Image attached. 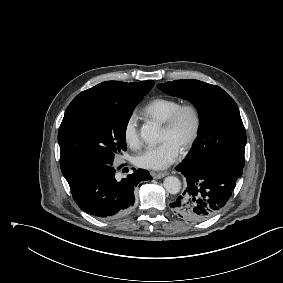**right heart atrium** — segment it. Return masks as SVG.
<instances>
[{
  "mask_svg": "<svg viewBox=\"0 0 283 283\" xmlns=\"http://www.w3.org/2000/svg\"><path fill=\"white\" fill-rule=\"evenodd\" d=\"M123 138L125 143L131 148H137L141 143L138 119L135 114H131L125 121L123 127Z\"/></svg>",
  "mask_w": 283,
  "mask_h": 283,
  "instance_id": "1",
  "label": "right heart atrium"
}]
</instances>
